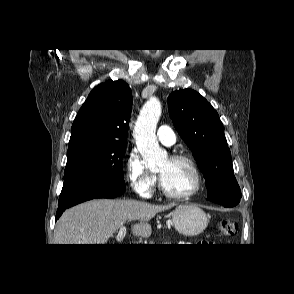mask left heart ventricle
Masks as SVG:
<instances>
[{
    "label": "left heart ventricle",
    "mask_w": 294,
    "mask_h": 294,
    "mask_svg": "<svg viewBox=\"0 0 294 294\" xmlns=\"http://www.w3.org/2000/svg\"><path fill=\"white\" fill-rule=\"evenodd\" d=\"M158 174L166 189L172 193H188L195 185L194 173L184 162H172L167 159L158 168Z\"/></svg>",
    "instance_id": "obj_1"
}]
</instances>
